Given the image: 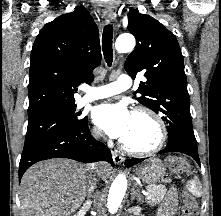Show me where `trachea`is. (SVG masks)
Here are the masks:
<instances>
[{
	"mask_svg": "<svg viewBox=\"0 0 221 216\" xmlns=\"http://www.w3.org/2000/svg\"><path fill=\"white\" fill-rule=\"evenodd\" d=\"M112 39H113V28L111 25H106L104 27V31L102 34V49L108 66H111L113 62Z\"/></svg>",
	"mask_w": 221,
	"mask_h": 216,
	"instance_id": "obj_1",
	"label": "trachea"
}]
</instances>
